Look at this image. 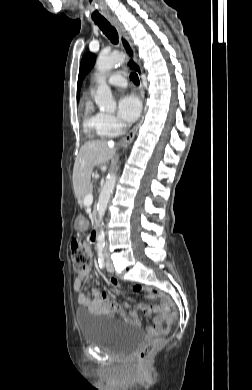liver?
Listing matches in <instances>:
<instances>
[{
    "label": "liver",
    "instance_id": "1",
    "mask_svg": "<svg viewBox=\"0 0 252 390\" xmlns=\"http://www.w3.org/2000/svg\"><path fill=\"white\" fill-rule=\"evenodd\" d=\"M116 153L114 146L106 141L86 142L79 150L73 167V187L80 199L88 191L91 173L96 165L107 163Z\"/></svg>",
    "mask_w": 252,
    "mask_h": 390
}]
</instances>
